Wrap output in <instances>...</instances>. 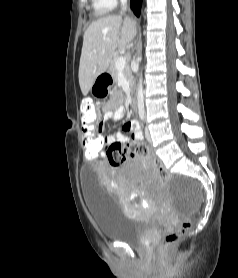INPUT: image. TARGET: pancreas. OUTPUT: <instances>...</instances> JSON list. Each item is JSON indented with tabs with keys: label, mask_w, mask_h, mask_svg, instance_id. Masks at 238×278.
<instances>
[{
	"label": "pancreas",
	"mask_w": 238,
	"mask_h": 278,
	"mask_svg": "<svg viewBox=\"0 0 238 278\" xmlns=\"http://www.w3.org/2000/svg\"><path fill=\"white\" fill-rule=\"evenodd\" d=\"M119 57H121L119 54L114 55V57L110 63V67H109V71H110L111 76L113 77L114 81H117V77H118L119 70L116 68V61ZM123 75L127 79V81L130 83V86L132 87L134 84V80H133V75L131 73V70L129 69L128 66L123 69Z\"/></svg>",
	"instance_id": "cf45deb5"
}]
</instances>
